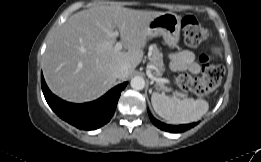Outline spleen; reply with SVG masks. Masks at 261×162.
<instances>
[{"mask_svg": "<svg viewBox=\"0 0 261 162\" xmlns=\"http://www.w3.org/2000/svg\"><path fill=\"white\" fill-rule=\"evenodd\" d=\"M151 102L155 112L173 124L197 121L201 119L209 109V104L206 100L182 99L178 93L173 96H167L154 92L151 96Z\"/></svg>", "mask_w": 261, "mask_h": 162, "instance_id": "1", "label": "spleen"}]
</instances>
